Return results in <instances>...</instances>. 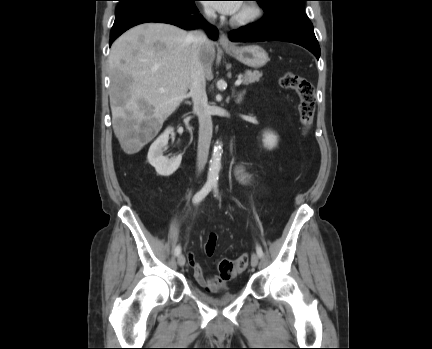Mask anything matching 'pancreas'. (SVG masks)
<instances>
[{
    "label": "pancreas",
    "mask_w": 432,
    "mask_h": 349,
    "mask_svg": "<svg viewBox=\"0 0 432 349\" xmlns=\"http://www.w3.org/2000/svg\"><path fill=\"white\" fill-rule=\"evenodd\" d=\"M261 77H262V73L261 72L247 70L245 72V74L242 75V78H243L242 81H243L244 85H248V84H252L254 82L259 81Z\"/></svg>",
    "instance_id": "cf45deb5"
}]
</instances>
